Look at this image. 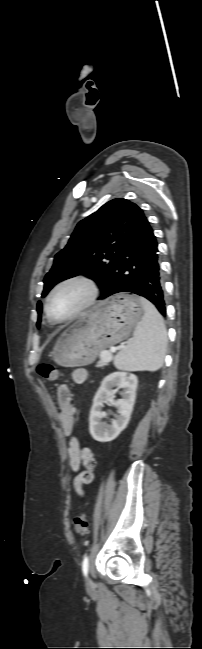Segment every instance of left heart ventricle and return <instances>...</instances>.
I'll return each instance as SVG.
<instances>
[{"label":"left heart ventricle","instance_id":"left-heart-ventricle-1","mask_svg":"<svg viewBox=\"0 0 202 649\" xmlns=\"http://www.w3.org/2000/svg\"><path fill=\"white\" fill-rule=\"evenodd\" d=\"M87 295V288L80 283L66 285L58 290L50 300V312L56 318H65L86 300Z\"/></svg>","mask_w":202,"mask_h":649}]
</instances>
